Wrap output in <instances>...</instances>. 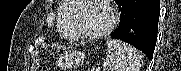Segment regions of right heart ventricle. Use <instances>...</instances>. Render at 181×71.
I'll list each match as a JSON object with an SVG mask.
<instances>
[{"label": "right heart ventricle", "instance_id": "e07e8e85", "mask_svg": "<svg viewBox=\"0 0 181 71\" xmlns=\"http://www.w3.org/2000/svg\"><path fill=\"white\" fill-rule=\"evenodd\" d=\"M75 6L74 3L64 1L60 8L59 31L67 39H75L70 26Z\"/></svg>", "mask_w": 181, "mask_h": 71}]
</instances>
